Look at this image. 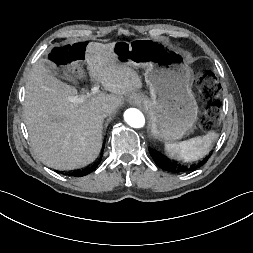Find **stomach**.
Listing matches in <instances>:
<instances>
[{
    "label": "stomach",
    "instance_id": "0dacf381",
    "mask_svg": "<svg viewBox=\"0 0 253 253\" xmlns=\"http://www.w3.org/2000/svg\"><path fill=\"white\" fill-rule=\"evenodd\" d=\"M113 54L120 62L145 69L150 97H138L156 139L173 143L193 131L198 114L191 90L193 73L181 54L149 39L118 41Z\"/></svg>",
    "mask_w": 253,
    "mask_h": 253
}]
</instances>
